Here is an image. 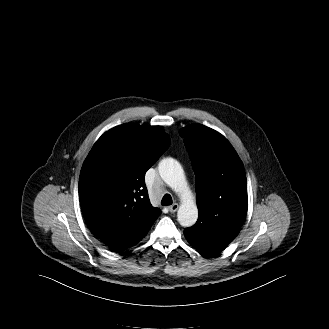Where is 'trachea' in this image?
Returning a JSON list of instances; mask_svg holds the SVG:
<instances>
[{
  "mask_svg": "<svg viewBox=\"0 0 329 329\" xmlns=\"http://www.w3.org/2000/svg\"><path fill=\"white\" fill-rule=\"evenodd\" d=\"M172 204V197L169 194H165L161 200L162 206H168Z\"/></svg>",
  "mask_w": 329,
  "mask_h": 329,
  "instance_id": "obj_1",
  "label": "trachea"
}]
</instances>
